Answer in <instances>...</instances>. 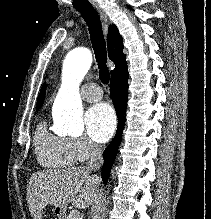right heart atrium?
I'll return each instance as SVG.
<instances>
[{
    "mask_svg": "<svg viewBox=\"0 0 211 219\" xmlns=\"http://www.w3.org/2000/svg\"><path fill=\"white\" fill-rule=\"evenodd\" d=\"M65 141L74 160L78 162L87 160L99 151V148L85 137H68Z\"/></svg>",
    "mask_w": 211,
    "mask_h": 219,
    "instance_id": "obj_1",
    "label": "right heart atrium"
}]
</instances>
